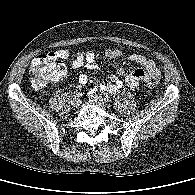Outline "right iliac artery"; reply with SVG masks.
Listing matches in <instances>:
<instances>
[{"mask_svg":"<svg viewBox=\"0 0 195 195\" xmlns=\"http://www.w3.org/2000/svg\"><path fill=\"white\" fill-rule=\"evenodd\" d=\"M76 96L80 97V96H82V93L79 92V93L76 94Z\"/></svg>","mask_w":195,"mask_h":195,"instance_id":"82829eb1","label":"right iliac artery"}]
</instances>
